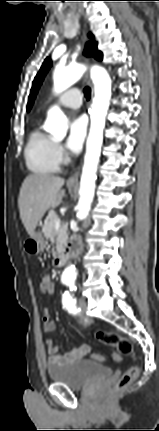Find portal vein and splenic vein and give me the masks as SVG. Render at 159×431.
I'll use <instances>...</instances> for the list:
<instances>
[{"label": "portal vein and splenic vein", "mask_w": 159, "mask_h": 431, "mask_svg": "<svg viewBox=\"0 0 159 431\" xmlns=\"http://www.w3.org/2000/svg\"><path fill=\"white\" fill-rule=\"evenodd\" d=\"M55 227H56V228H59V227H60V219H59V218H57V219L55 220Z\"/></svg>", "instance_id": "1"}]
</instances>
